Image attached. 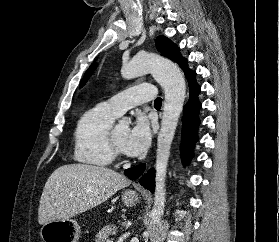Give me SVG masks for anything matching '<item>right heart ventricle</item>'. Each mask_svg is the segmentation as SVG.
I'll list each match as a JSON object with an SVG mask.
<instances>
[{
  "instance_id": "e07e8e85",
  "label": "right heart ventricle",
  "mask_w": 279,
  "mask_h": 242,
  "mask_svg": "<svg viewBox=\"0 0 279 242\" xmlns=\"http://www.w3.org/2000/svg\"><path fill=\"white\" fill-rule=\"evenodd\" d=\"M117 117L104 103L81 115L74 132V157L78 162L97 167L112 163L115 155L109 133Z\"/></svg>"
}]
</instances>
